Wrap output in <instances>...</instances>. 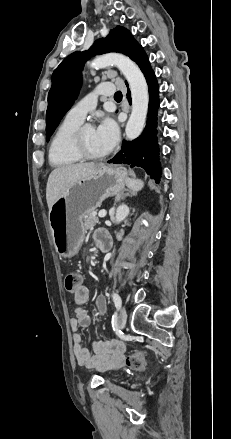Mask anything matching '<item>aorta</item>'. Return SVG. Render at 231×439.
I'll return each mask as SVG.
<instances>
[{"mask_svg": "<svg viewBox=\"0 0 231 439\" xmlns=\"http://www.w3.org/2000/svg\"><path fill=\"white\" fill-rule=\"evenodd\" d=\"M116 66L129 83L132 98V111L126 125L125 133L129 140L136 139L143 131L149 104L148 86L139 67L129 57L120 53H108L96 57L91 63V68H105ZM129 214L126 204L118 206L115 222L120 223Z\"/></svg>", "mask_w": 231, "mask_h": 439, "instance_id": "obj_1", "label": "aorta"}]
</instances>
